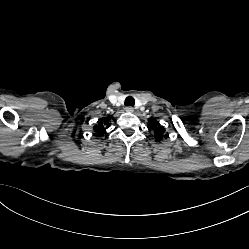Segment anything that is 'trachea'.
<instances>
[{
    "label": "trachea",
    "instance_id": "obj_1",
    "mask_svg": "<svg viewBox=\"0 0 249 249\" xmlns=\"http://www.w3.org/2000/svg\"><path fill=\"white\" fill-rule=\"evenodd\" d=\"M135 104V100L133 97L131 96H128L126 99H125V106H134Z\"/></svg>",
    "mask_w": 249,
    "mask_h": 249
}]
</instances>
